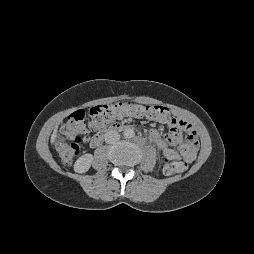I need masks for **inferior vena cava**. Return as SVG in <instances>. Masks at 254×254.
<instances>
[{
    "mask_svg": "<svg viewBox=\"0 0 254 254\" xmlns=\"http://www.w3.org/2000/svg\"><path fill=\"white\" fill-rule=\"evenodd\" d=\"M104 138L107 144H112L117 142L120 139V135L115 130H109L105 133Z\"/></svg>",
    "mask_w": 254,
    "mask_h": 254,
    "instance_id": "1",
    "label": "inferior vena cava"
}]
</instances>
